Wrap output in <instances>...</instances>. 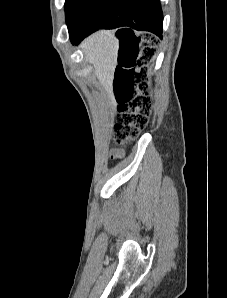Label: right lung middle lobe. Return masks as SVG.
I'll return each mask as SVG.
<instances>
[{
	"mask_svg": "<svg viewBox=\"0 0 227 298\" xmlns=\"http://www.w3.org/2000/svg\"><path fill=\"white\" fill-rule=\"evenodd\" d=\"M109 0H66L65 12L69 34L79 31Z\"/></svg>",
	"mask_w": 227,
	"mask_h": 298,
	"instance_id": "dd1d6c3e",
	"label": "right lung middle lobe"
}]
</instances>
